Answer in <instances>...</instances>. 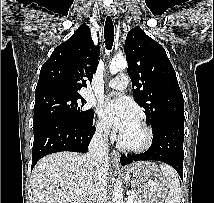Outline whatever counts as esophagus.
Returning <instances> with one entry per match:
<instances>
[{
  "label": "esophagus",
  "mask_w": 214,
  "mask_h": 203,
  "mask_svg": "<svg viewBox=\"0 0 214 203\" xmlns=\"http://www.w3.org/2000/svg\"><path fill=\"white\" fill-rule=\"evenodd\" d=\"M106 13L108 15H112L113 14V9L111 7H108L107 10H106ZM119 153L116 152V151H112L111 152V159H112V162L118 167L119 165Z\"/></svg>",
  "instance_id": "1"
}]
</instances>
